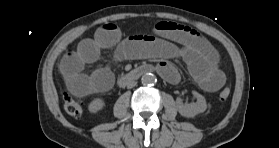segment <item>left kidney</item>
Returning a JSON list of instances; mask_svg holds the SVG:
<instances>
[{
	"label": "left kidney",
	"mask_w": 279,
	"mask_h": 148,
	"mask_svg": "<svg viewBox=\"0 0 279 148\" xmlns=\"http://www.w3.org/2000/svg\"><path fill=\"white\" fill-rule=\"evenodd\" d=\"M193 95L197 98L196 102L183 104L181 98H177L176 100L177 110L184 117H195L196 115L203 113L207 109V102L204 96L196 91L193 92Z\"/></svg>",
	"instance_id": "5707ae66"
}]
</instances>
